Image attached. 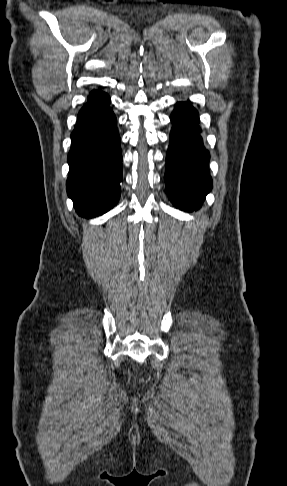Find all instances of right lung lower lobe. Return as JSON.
I'll return each instance as SVG.
<instances>
[{
	"label": "right lung lower lobe",
	"mask_w": 287,
	"mask_h": 486,
	"mask_svg": "<svg viewBox=\"0 0 287 486\" xmlns=\"http://www.w3.org/2000/svg\"><path fill=\"white\" fill-rule=\"evenodd\" d=\"M71 139L68 196L80 216L102 215L118 202L122 181L120 136L108 94L89 93Z\"/></svg>",
	"instance_id": "98d812e1"
}]
</instances>
